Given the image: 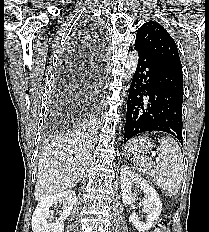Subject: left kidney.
<instances>
[{
    "label": "left kidney",
    "instance_id": "obj_1",
    "mask_svg": "<svg viewBox=\"0 0 209 232\" xmlns=\"http://www.w3.org/2000/svg\"><path fill=\"white\" fill-rule=\"evenodd\" d=\"M120 175L121 195L125 205L135 203V197L132 194V187L134 185L144 193L145 197L142 203L148 209L145 221H141L135 212L130 215L129 221L132 222L139 232H147L159 218L162 211V202L159 195L145 179L134 173L129 166L123 165Z\"/></svg>",
    "mask_w": 209,
    "mask_h": 232
}]
</instances>
